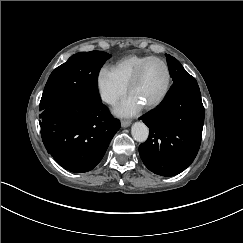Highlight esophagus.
<instances>
[{
  "label": "esophagus",
  "instance_id": "34e87169",
  "mask_svg": "<svg viewBox=\"0 0 243 243\" xmlns=\"http://www.w3.org/2000/svg\"><path fill=\"white\" fill-rule=\"evenodd\" d=\"M131 125V121L130 120H123V121H121V126L123 127V128H127V127H129Z\"/></svg>",
  "mask_w": 243,
  "mask_h": 243
}]
</instances>
